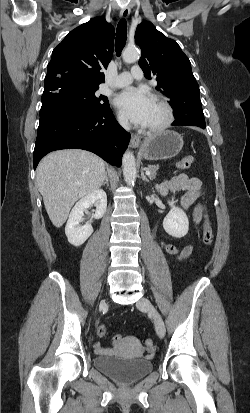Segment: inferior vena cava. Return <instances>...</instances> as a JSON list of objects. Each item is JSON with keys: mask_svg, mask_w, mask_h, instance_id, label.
Segmentation results:
<instances>
[{"mask_svg": "<svg viewBox=\"0 0 250 413\" xmlns=\"http://www.w3.org/2000/svg\"><path fill=\"white\" fill-rule=\"evenodd\" d=\"M119 123H120V125H121L123 128H125L126 130H129V129H130L129 122H128V120H127L126 118L120 117V118H119Z\"/></svg>", "mask_w": 250, "mask_h": 413, "instance_id": "602c4592", "label": "inferior vena cava"}]
</instances>
